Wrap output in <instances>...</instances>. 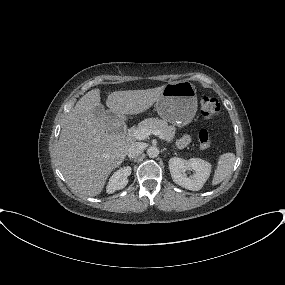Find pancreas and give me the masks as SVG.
Listing matches in <instances>:
<instances>
[{"instance_id": "pancreas-1", "label": "pancreas", "mask_w": 285, "mask_h": 285, "mask_svg": "<svg viewBox=\"0 0 285 285\" xmlns=\"http://www.w3.org/2000/svg\"><path fill=\"white\" fill-rule=\"evenodd\" d=\"M147 128L149 130H159L163 133L164 139L167 142H172L175 137V127L169 126L164 120L158 118H148L138 124L137 127L130 129V134L134 129Z\"/></svg>"}]
</instances>
